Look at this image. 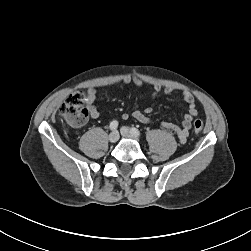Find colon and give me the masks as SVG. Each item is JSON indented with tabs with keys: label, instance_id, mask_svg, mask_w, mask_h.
<instances>
[{
	"label": "colon",
	"instance_id": "1",
	"mask_svg": "<svg viewBox=\"0 0 251 251\" xmlns=\"http://www.w3.org/2000/svg\"><path fill=\"white\" fill-rule=\"evenodd\" d=\"M85 102L86 96L80 91L71 93L64 101L60 112L70 125L79 127L86 123L88 111L84 106ZM193 128L196 133H200L204 129V124L197 119L193 123Z\"/></svg>",
	"mask_w": 251,
	"mask_h": 251
}]
</instances>
